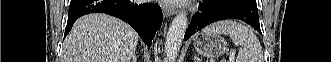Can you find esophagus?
<instances>
[{
  "instance_id": "1",
  "label": "esophagus",
  "mask_w": 331,
  "mask_h": 62,
  "mask_svg": "<svg viewBox=\"0 0 331 62\" xmlns=\"http://www.w3.org/2000/svg\"><path fill=\"white\" fill-rule=\"evenodd\" d=\"M162 10L166 17H170L177 13L176 6L170 4H161Z\"/></svg>"
}]
</instances>
